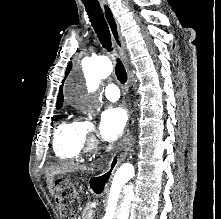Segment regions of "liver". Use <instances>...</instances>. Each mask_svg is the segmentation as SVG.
<instances>
[{
	"mask_svg": "<svg viewBox=\"0 0 221 219\" xmlns=\"http://www.w3.org/2000/svg\"><path fill=\"white\" fill-rule=\"evenodd\" d=\"M78 170L85 171V170H90V168L85 165H80V164H75V163H62L60 165L50 166L47 169V183H48V189L50 193L52 195L54 194L53 180L56 175L75 172Z\"/></svg>",
	"mask_w": 221,
	"mask_h": 219,
	"instance_id": "liver-1",
	"label": "liver"
}]
</instances>
